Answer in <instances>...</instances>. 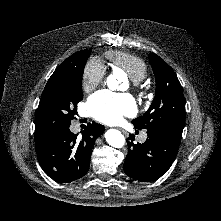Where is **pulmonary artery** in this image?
Instances as JSON below:
<instances>
[{"label":"pulmonary artery","mask_w":221,"mask_h":221,"mask_svg":"<svg viewBox=\"0 0 221 221\" xmlns=\"http://www.w3.org/2000/svg\"><path fill=\"white\" fill-rule=\"evenodd\" d=\"M146 138H147V135H146V133H144L141 135L140 140L143 142L146 140Z\"/></svg>","instance_id":"obj_1"}]
</instances>
